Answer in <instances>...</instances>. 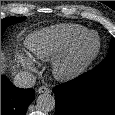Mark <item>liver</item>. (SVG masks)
<instances>
[{"instance_id":"liver-1","label":"liver","mask_w":115,"mask_h":115,"mask_svg":"<svg viewBox=\"0 0 115 115\" xmlns=\"http://www.w3.org/2000/svg\"><path fill=\"white\" fill-rule=\"evenodd\" d=\"M5 65H4V56L3 53H1V72L3 71Z\"/></svg>"}]
</instances>
